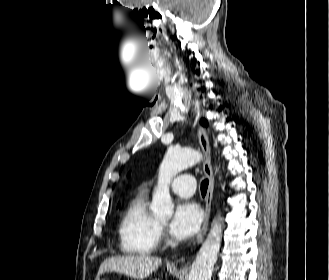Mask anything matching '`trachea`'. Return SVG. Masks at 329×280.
Returning <instances> with one entry per match:
<instances>
[{
    "label": "trachea",
    "instance_id": "1",
    "mask_svg": "<svg viewBox=\"0 0 329 280\" xmlns=\"http://www.w3.org/2000/svg\"><path fill=\"white\" fill-rule=\"evenodd\" d=\"M208 185H209V182L207 179H205L201 182V194L203 197L206 195Z\"/></svg>",
    "mask_w": 329,
    "mask_h": 280
}]
</instances>
